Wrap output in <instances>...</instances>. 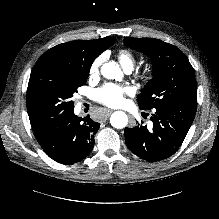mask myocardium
I'll list each match as a JSON object with an SVG mask.
<instances>
[{"instance_id":"f54148a6","label":"myocardium","mask_w":219,"mask_h":219,"mask_svg":"<svg viewBox=\"0 0 219 219\" xmlns=\"http://www.w3.org/2000/svg\"><path fill=\"white\" fill-rule=\"evenodd\" d=\"M147 77H148V71L147 70H144L143 72H141L140 78L146 79Z\"/></svg>"}]
</instances>
